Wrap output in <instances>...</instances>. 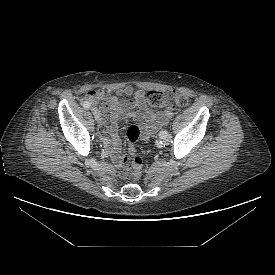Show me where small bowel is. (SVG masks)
<instances>
[{
    "label": "small bowel",
    "mask_w": 275,
    "mask_h": 275,
    "mask_svg": "<svg viewBox=\"0 0 275 275\" xmlns=\"http://www.w3.org/2000/svg\"><path fill=\"white\" fill-rule=\"evenodd\" d=\"M120 96L133 98L120 100ZM87 98L93 104H100L101 140L111 151L112 160L118 168L127 161L121 154L122 143L118 137L117 124L119 120L136 121L143 132L142 139L147 141L158 129L165 126L172 116L168 109L153 110L146 102V92L142 89L134 90L131 86L117 90L114 95L108 90L90 91Z\"/></svg>",
    "instance_id": "c3829d8e"
}]
</instances>
